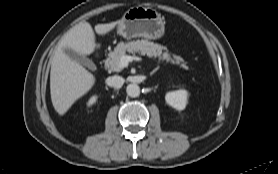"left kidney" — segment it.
<instances>
[{"mask_svg": "<svg viewBox=\"0 0 278 174\" xmlns=\"http://www.w3.org/2000/svg\"><path fill=\"white\" fill-rule=\"evenodd\" d=\"M188 92L186 90H176L168 92L165 96L167 104L177 110H183L186 107Z\"/></svg>", "mask_w": 278, "mask_h": 174, "instance_id": "5707ae66", "label": "left kidney"}]
</instances>
